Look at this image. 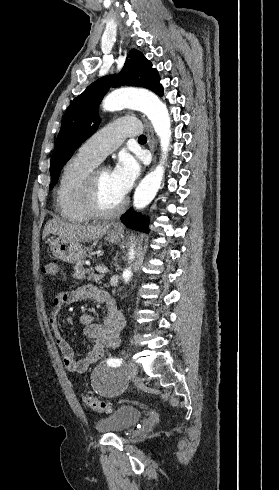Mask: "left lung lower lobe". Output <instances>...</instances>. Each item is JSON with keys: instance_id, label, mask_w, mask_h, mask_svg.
Here are the masks:
<instances>
[{"instance_id": "1", "label": "left lung lower lobe", "mask_w": 279, "mask_h": 490, "mask_svg": "<svg viewBox=\"0 0 279 490\" xmlns=\"http://www.w3.org/2000/svg\"><path fill=\"white\" fill-rule=\"evenodd\" d=\"M121 221L129 228L139 230L142 232H148V224L143 221L137 213L132 209H129L122 217Z\"/></svg>"}]
</instances>
